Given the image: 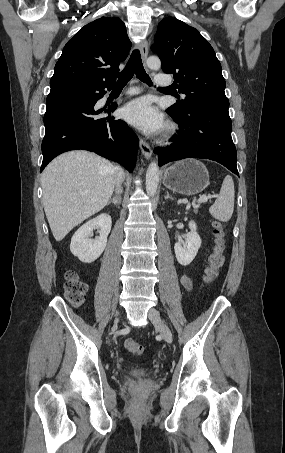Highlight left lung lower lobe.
<instances>
[{
    "label": "left lung lower lobe",
    "instance_id": "0a47b994",
    "mask_svg": "<svg viewBox=\"0 0 285 453\" xmlns=\"http://www.w3.org/2000/svg\"><path fill=\"white\" fill-rule=\"evenodd\" d=\"M167 112L179 125V132L167 147L155 148L159 166L184 158L214 160L238 174L236 148L232 141V123L229 112L207 109H192L179 114L170 109Z\"/></svg>",
    "mask_w": 285,
    "mask_h": 453
}]
</instances>
